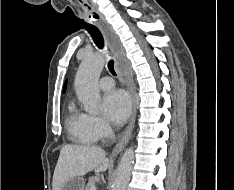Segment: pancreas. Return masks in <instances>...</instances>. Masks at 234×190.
I'll list each match as a JSON object with an SVG mask.
<instances>
[{"mask_svg":"<svg viewBox=\"0 0 234 190\" xmlns=\"http://www.w3.org/2000/svg\"><path fill=\"white\" fill-rule=\"evenodd\" d=\"M95 186V179L94 177H89L88 183L85 187V190H91V188Z\"/></svg>","mask_w":234,"mask_h":190,"instance_id":"obj_1","label":"pancreas"}]
</instances>
